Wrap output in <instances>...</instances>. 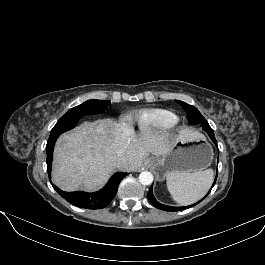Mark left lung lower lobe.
Returning a JSON list of instances; mask_svg holds the SVG:
<instances>
[{
    "mask_svg": "<svg viewBox=\"0 0 265 265\" xmlns=\"http://www.w3.org/2000/svg\"><path fill=\"white\" fill-rule=\"evenodd\" d=\"M202 127H203V130H205L209 137L211 138V140L214 142V144L217 146V141L215 139V136H214V131L213 129L209 126L208 122H205V123H202ZM216 179H217V175H216V178L214 180V183L212 185V187L214 186L215 182H216ZM210 192V191H209ZM148 199L149 201L151 202V204H153L155 207L161 209V210H165V211H169V212H175V211H179V210H183V209H186V208H189V207H192L194 206L195 204L191 205V206H186V207H171V206H167V205H163L161 203H159L153 196V192H152V187L150 188L149 192H148ZM199 203V202H197ZM196 203V204H197Z\"/></svg>",
    "mask_w": 265,
    "mask_h": 265,
    "instance_id": "0a47b994",
    "label": "left lung lower lobe"
}]
</instances>
